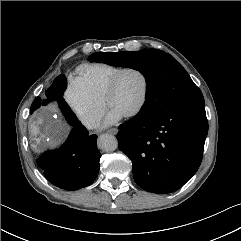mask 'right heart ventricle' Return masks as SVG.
<instances>
[{
  "label": "right heart ventricle",
  "instance_id": "right-heart-ventricle-1",
  "mask_svg": "<svg viewBox=\"0 0 241 241\" xmlns=\"http://www.w3.org/2000/svg\"><path fill=\"white\" fill-rule=\"evenodd\" d=\"M121 68L119 65L107 63L84 64L78 68L77 79L95 99L102 102L110 79Z\"/></svg>",
  "mask_w": 241,
  "mask_h": 241
}]
</instances>
